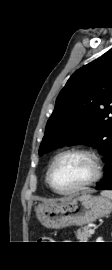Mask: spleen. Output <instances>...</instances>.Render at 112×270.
<instances>
[{
  "instance_id": "3e777b00",
  "label": "spleen",
  "mask_w": 112,
  "mask_h": 270,
  "mask_svg": "<svg viewBox=\"0 0 112 270\" xmlns=\"http://www.w3.org/2000/svg\"><path fill=\"white\" fill-rule=\"evenodd\" d=\"M101 195L112 200V191L111 190H104L101 192Z\"/></svg>"
}]
</instances>
